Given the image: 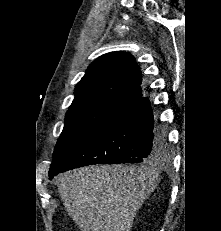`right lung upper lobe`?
<instances>
[{"label": "right lung upper lobe", "instance_id": "cb5924a9", "mask_svg": "<svg viewBox=\"0 0 221 231\" xmlns=\"http://www.w3.org/2000/svg\"><path fill=\"white\" fill-rule=\"evenodd\" d=\"M142 75L135 58L127 52H110L97 58L75 88L71 105L95 97L134 101L143 96Z\"/></svg>", "mask_w": 221, "mask_h": 231}]
</instances>
